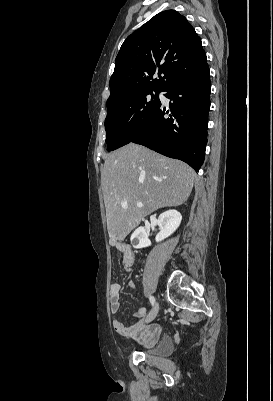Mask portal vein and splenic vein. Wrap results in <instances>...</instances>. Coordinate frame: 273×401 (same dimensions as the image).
Wrapping results in <instances>:
<instances>
[{"mask_svg": "<svg viewBox=\"0 0 273 401\" xmlns=\"http://www.w3.org/2000/svg\"><path fill=\"white\" fill-rule=\"evenodd\" d=\"M137 207H144L143 203H137ZM124 209H127V205L126 207H124Z\"/></svg>", "mask_w": 273, "mask_h": 401, "instance_id": "obj_1", "label": "portal vein and splenic vein"}]
</instances>
